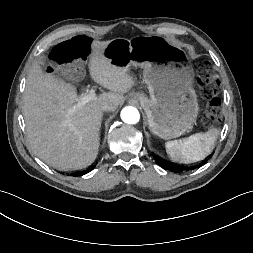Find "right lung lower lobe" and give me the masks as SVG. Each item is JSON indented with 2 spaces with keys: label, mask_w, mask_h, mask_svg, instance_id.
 <instances>
[{
  "label": "right lung lower lobe",
  "mask_w": 253,
  "mask_h": 253,
  "mask_svg": "<svg viewBox=\"0 0 253 253\" xmlns=\"http://www.w3.org/2000/svg\"><path fill=\"white\" fill-rule=\"evenodd\" d=\"M90 170H92V169H90ZM90 170H89V171H90ZM89 171H87V172H89ZM83 174H85V173H80V174L74 175V176H81V175H83Z\"/></svg>",
  "instance_id": "98d812e1"
}]
</instances>
